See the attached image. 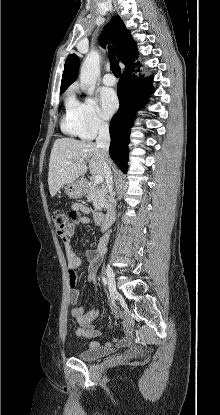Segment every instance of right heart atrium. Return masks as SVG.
I'll list each match as a JSON object with an SVG mask.
<instances>
[{
    "label": "right heart atrium",
    "instance_id": "obj_1",
    "mask_svg": "<svg viewBox=\"0 0 220 415\" xmlns=\"http://www.w3.org/2000/svg\"><path fill=\"white\" fill-rule=\"evenodd\" d=\"M77 114L83 139H93L107 130V122L100 116L97 103L92 97H85L77 103Z\"/></svg>",
    "mask_w": 220,
    "mask_h": 415
}]
</instances>
